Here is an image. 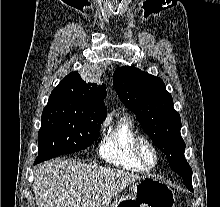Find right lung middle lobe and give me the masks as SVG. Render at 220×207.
<instances>
[{"instance_id":"obj_1","label":"right lung middle lobe","mask_w":220,"mask_h":207,"mask_svg":"<svg viewBox=\"0 0 220 207\" xmlns=\"http://www.w3.org/2000/svg\"><path fill=\"white\" fill-rule=\"evenodd\" d=\"M103 120L77 100L50 96L41 117L35 163L87 148L98 136Z\"/></svg>"}]
</instances>
